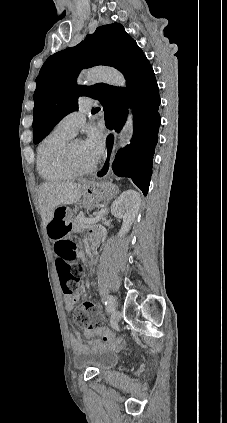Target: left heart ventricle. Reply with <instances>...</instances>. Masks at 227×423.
<instances>
[{
    "instance_id": "obj_1",
    "label": "left heart ventricle",
    "mask_w": 227,
    "mask_h": 423,
    "mask_svg": "<svg viewBox=\"0 0 227 423\" xmlns=\"http://www.w3.org/2000/svg\"><path fill=\"white\" fill-rule=\"evenodd\" d=\"M72 157L76 168L85 169L92 166L86 156L84 144L82 141H77L72 147Z\"/></svg>"
}]
</instances>
